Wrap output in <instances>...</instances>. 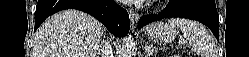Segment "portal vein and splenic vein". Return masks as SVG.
<instances>
[{
  "label": "portal vein and splenic vein",
  "mask_w": 249,
  "mask_h": 57,
  "mask_svg": "<svg viewBox=\"0 0 249 57\" xmlns=\"http://www.w3.org/2000/svg\"><path fill=\"white\" fill-rule=\"evenodd\" d=\"M181 43H182V44H184V43H185V41H181Z\"/></svg>",
  "instance_id": "portal-vein-and-splenic-vein-1"
}]
</instances>
